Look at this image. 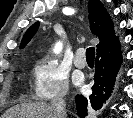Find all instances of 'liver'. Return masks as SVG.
Masks as SVG:
<instances>
[{"instance_id": "6515ba94", "label": "liver", "mask_w": 133, "mask_h": 118, "mask_svg": "<svg viewBox=\"0 0 133 118\" xmlns=\"http://www.w3.org/2000/svg\"><path fill=\"white\" fill-rule=\"evenodd\" d=\"M2 118H55L51 105L43 102L21 104L7 110Z\"/></svg>"}]
</instances>
